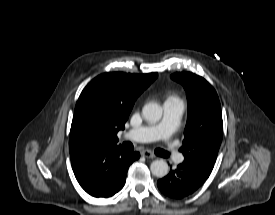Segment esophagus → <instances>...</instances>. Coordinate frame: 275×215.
Returning a JSON list of instances; mask_svg holds the SVG:
<instances>
[{
	"mask_svg": "<svg viewBox=\"0 0 275 215\" xmlns=\"http://www.w3.org/2000/svg\"><path fill=\"white\" fill-rule=\"evenodd\" d=\"M141 155L146 157V158H155V155L149 150H143L141 152Z\"/></svg>",
	"mask_w": 275,
	"mask_h": 215,
	"instance_id": "1",
	"label": "esophagus"
}]
</instances>
